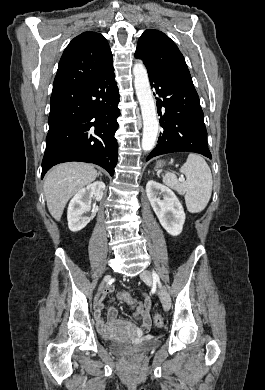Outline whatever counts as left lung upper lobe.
I'll return each mask as SVG.
<instances>
[{
  "instance_id": "obj_1",
  "label": "left lung upper lobe",
  "mask_w": 265,
  "mask_h": 390,
  "mask_svg": "<svg viewBox=\"0 0 265 390\" xmlns=\"http://www.w3.org/2000/svg\"><path fill=\"white\" fill-rule=\"evenodd\" d=\"M135 57L143 60L148 72L190 75L187 64L176 44L163 32L146 30L139 38Z\"/></svg>"
}]
</instances>
